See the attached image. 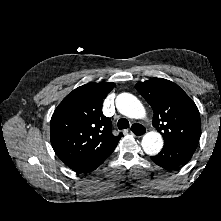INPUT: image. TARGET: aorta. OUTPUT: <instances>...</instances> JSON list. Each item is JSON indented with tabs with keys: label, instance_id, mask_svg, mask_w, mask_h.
Returning a JSON list of instances; mask_svg holds the SVG:
<instances>
[{
	"label": "aorta",
	"instance_id": "762f6f07",
	"mask_svg": "<svg viewBox=\"0 0 221 221\" xmlns=\"http://www.w3.org/2000/svg\"><path fill=\"white\" fill-rule=\"evenodd\" d=\"M116 107L118 111L133 119L143 118L146 114L142 103L130 93H121L116 98ZM144 152L148 155L158 154L163 147V138L157 131L146 133L141 142Z\"/></svg>",
	"mask_w": 221,
	"mask_h": 221
}]
</instances>
